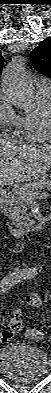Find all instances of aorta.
I'll list each match as a JSON object with an SVG mask.
<instances>
[{"label": "aorta", "mask_w": 51, "mask_h": 393, "mask_svg": "<svg viewBox=\"0 0 51 393\" xmlns=\"http://www.w3.org/2000/svg\"><path fill=\"white\" fill-rule=\"evenodd\" d=\"M24 63L14 57L3 76V91L18 109L31 111L36 107L33 85L24 78Z\"/></svg>", "instance_id": "aorta-1"}]
</instances>
